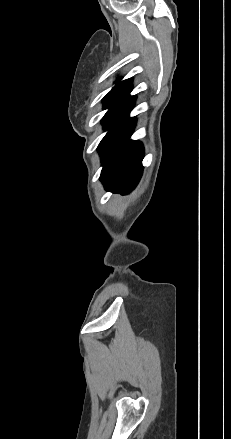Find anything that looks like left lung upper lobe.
<instances>
[{
	"instance_id": "1",
	"label": "left lung upper lobe",
	"mask_w": 231,
	"mask_h": 439,
	"mask_svg": "<svg viewBox=\"0 0 231 439\" xmlns=\"http://www.w3.org/2000/svg\"><path fill=\"white\" fill-rule=\"evenodd\" d=\"M131 83H132V79L131 78L117 83L112 88V90L104 97V99H103L104 109L110 107V110H111L119 102H121L123 99H125L129 95L131 90H132L131 89Z\"/></svg>"
}]
</instances>
